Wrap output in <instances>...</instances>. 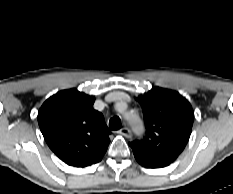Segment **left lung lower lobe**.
Instances as JSON below:
<instances>
[{
    "label": "left lung lower lobe",
    "instance_id": "obj_1",
    "mask_svg": "<svg viewBox=\"0 0 233 194\" xmlns=\"http://www.w3.org/2000/svg\"><path fill=\"white\" fill-rule=\"evenodd\" d=\"M136 160L142 166L147 167V168H162V167H165V166L169 165V164H166V163L153 162V161L145 160V159H142V158H136Z\"/></svg>",
    "mask_w": 233,
    "mask_h": 194
}]
</instances>
